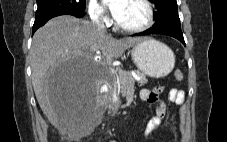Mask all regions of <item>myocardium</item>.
Masks as SVG:
<instances>
[{
    "mask_svg": "<svg viewBox=\"0 0 227 142\" xmlns=\"http://www.w3.org/2000/svg\"><path fill=\"white\" fill-rule=\"evenodd\" d=\"M140 2L144 5L146 9L145 21L141 25L129 27L124 26L120 24L117 20H115L114 25L118 30L126 33H139L147 30L153 25L155 19V10L153 4L150 0H140Z\"/></svg>",
    "mask_w": 227,
    "mask_h": 142,
    "instance_id": "1",
    "label": "myocardium"
}]
</instances>
